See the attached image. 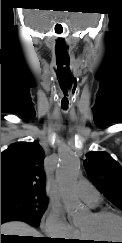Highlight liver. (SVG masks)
I'll return each instance as SVG.
<instances>
[{"label":"liver","instance_id":"6515ba94","mask_svg":"<svg viewBox=\"0 0 122 243\" xmlns=\"http://www.w3.org/2000/svg\"><path fill=\"white\" fill-rule=\"evenodd\" d=\"M1 235H18V236H33V237H41V234L31 227L30 225L19 222L12 221L7 222L1 225ZM36 241V240H32Z\"/></svg>","mask_w":122,"mask_h":243}]
</instances>
